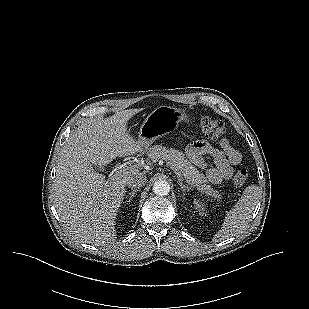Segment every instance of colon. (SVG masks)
<instances>
[{"instance_id":"colon-1","label":"colon","mask_w":309,"mask_h":309,"mask_svg":"<svg viewBox=\"0 0 309 309\" xmlns=\"http://www.w3.org/2000/svg\"><path fill=\"white\" fill-rule=\"evenodd\" d=\"M200 127L202 131L211 139L221 141L225 135V126L221 121L202 117L200 119ZM248 177L246 169H240L234 176V183L238 186L243 185Z\"/></svg>"}]
</instances>
